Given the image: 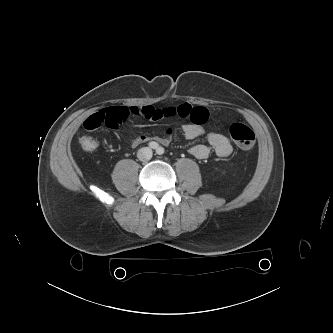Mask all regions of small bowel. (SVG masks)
<instances>
[{
  "label": "small bowel",
  "mask_w": 333,
  "mask_h": 333,
  "mask_svg": "<svg viewBox=\"0 0 333 333\" xmlns=\"http://www.w3.org/2000/svg\"><path fill=\"white\" fill-rule=\"evenodd\" d=\"M131 114L144 117L153 121L162 120L169 116H179L187 119L188 122L182 125V132L187 139H196L204 135L203 124L209 117V112L205 107L193 106L189 103H183L177 107L167 109H156L151 106L143 107H109L99 110L88 116L83 122L86 130L93 131L102 124L110 128L117 129L122 122ZM172 135L171 129H166L162 136L150 137L148 135L135 136L131 144L138 146L152 139L157 140L163 145L170 142ZM233 151V146L228 137L217 132L207 134V142L193 145L189 152L197 159H206L212 152L219 157H227Z\"/></svg>",
  "instance_id": "1"
}]
</instances>
